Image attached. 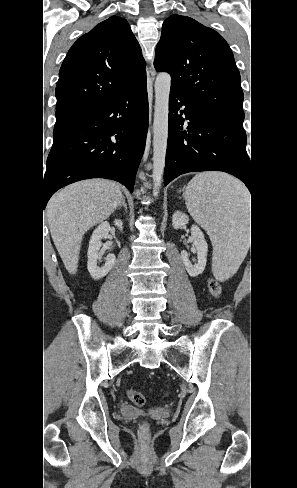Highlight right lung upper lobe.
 Returning <instances> with one entry per match:
<instances>
[{"label":"right lung upper lobe","instance_id":"obj_1","mask_svg":"<svg viewBox=\"0 0 297 488\" xmlns=\"http://www.w3.org/2000/svg\"><path fill=\"white\" fill-rule=\"evenodd\" d=\"M141 48L126 19L112 16L70 48L56 85L60 128L146 78Z\"/></svg>","mask_w":297,"mask_h":488}]
</instances>
